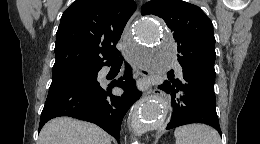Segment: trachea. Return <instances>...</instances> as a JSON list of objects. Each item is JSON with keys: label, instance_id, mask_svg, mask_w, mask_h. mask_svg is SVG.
<instances>
[{"label": "trachea", "instance_id": "3493384b", "mask_svg": "<svg viewBox=\"0 0 260 144\" xmlns=\"http://www.w3.org/2000/svg\"><path fill=\"white\" fill-rule=\"evenodd\" d=\"M113 62H114V63H122V59L119 58V57H115V59H114Z\"/></svg>", "mask_w": 260, "mask_h": 144}]
</instances>
